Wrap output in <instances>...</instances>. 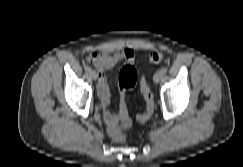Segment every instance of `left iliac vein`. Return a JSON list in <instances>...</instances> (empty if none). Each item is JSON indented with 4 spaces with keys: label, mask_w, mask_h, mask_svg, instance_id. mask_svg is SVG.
I'll return each mask as SVG.
<instances>
[{
    "label": "left iliac vein",
    "mask_w": 243,
    "mask_h": 167,
    "mask_svg": "<svg viewBox=\"0 0 243 167\" xmlns=\"http://www.w3.org/2000/svg\"><path fill=\"white\" fill-rule=\"evenodd\" d=\"M164 77V74L162 73V71H157L155 74H154V82L155 83H158L162 80V78Z\"/></svg>",
    "instance_id": "obj_1"
}]
</instances>
